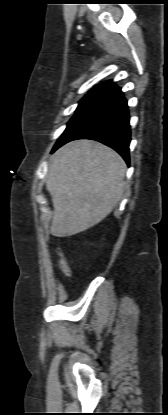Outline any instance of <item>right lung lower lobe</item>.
Returning <instances> with one entry per match:
<instances>
[{
	"mask_svg": "<svg viewBox=\"0 0 168 415\" xmlns=\"http://www.w3.org/2000/svg\"><path fill=\"white\" fill-rule=\"evenodd\" d=\"M77 139L99 141L117 151L129 164V112L119 87L113 85L81 108L68 122L52 152Z\"/></svg>",
	"mask_w": 168,
	"mask_h": 415,
	"instance_id": "98d812e1",
	"label": "right lung lower lobe"
}]
</instances>
